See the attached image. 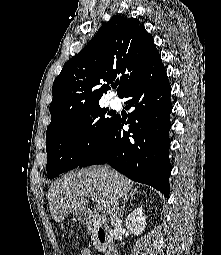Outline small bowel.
Returning <instances> with one entry per match:
<instances>
[{
    "mask_svg": "<svg viewBox=\"0 0 221 255\" xmlns=\"http://www.w3.org/2000/svg\"><path fill=\"white\" fill-rule=\"evenodd\" d=\"M80 255H93L89 249H82Z\"/></svg>",
    "mask_w": 221,
    "mask_h": 255,
    "instance_id": "obj_1",
    "label": "small bowel"
}]
</instances>
